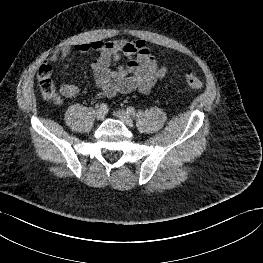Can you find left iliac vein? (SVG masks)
<instances>
[{
    "mask_svg": "<svg viewBox=\"0 0 263 263\" xmlns=\"http://www.w3.org/2000/svg\"><path fill=\"white\" fill-rule=\"evenodd\" d=\"M117 116L126 126H128V127H132L133 126L132 118L128 114V112H126L124 110H119L117 112Z\"/></svg>",
    "mask_w": 263,
    "mask_h": 263,
    "instance_id": "obj_1",
    "label": "left iliac vein"
}]
</instances>
